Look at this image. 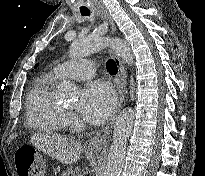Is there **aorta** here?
I'll use <instances>...</instances> for the list:
<instances>
[{"instance_id": "762f6f07", "label": "aorta", "mask_w": 205, "mask_h": 176, "mask_svg": "<svg viewBox=\"0 0 205 176\" xmlns=\"http://www.w3.org/2000/svg\"><path fill=\"white\" fill-rule=\"evenodd\" d=\"M110 45L115 52L128 64L133 63V56L127 42L119 38L98 37L91 35L86 38L76 39L70 46V57H85L93 52L100 51ZM77 91L75 86L64 81L58 86V95L62 99L74 100ZM135 114L132 109H124L118 116L114 131L113 142L107 157L104 176H120L123 168L127 140L133 128Z\"/></svg>"}]
</instances>
